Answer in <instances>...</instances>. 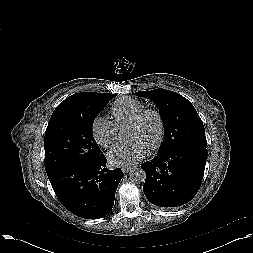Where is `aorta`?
<instances>
[{
  "label": "aorta",
  "mask_w": 253,
  "mask_h": 253,
  "mask_svg": "<svg viewBox=\"0 0 253 253\" xmlns=\"http://www.w3.org/2000/svg\"><path fill=\"white\" fill-rule=\"evenodd\" d=\"M129 178H130L131 182H133V183H136V184L142 183L146 179V173L143 169L136 168V169L130 171Z\"/></svg>",
  "instance_id": "obj_1"
}]
</instances>
